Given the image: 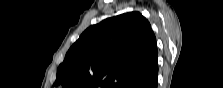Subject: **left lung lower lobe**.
Here are the masks:
<instances>
[{
	"instance_id": "obj_1",
	"label": "left lung lower lobe",
	"mask_w": 223,
	"mask_h": 88,
	"mask_svg": "<svg viewBox=\"0 0 223 88\" xmlns=\"http://www.w3.org/2000/svg\"><path fill=\"white\" fill-rule=\"evenodd\" d=\"M158 64L135 81L129 88H157Z\"/></svg>"
}]
</instances>
